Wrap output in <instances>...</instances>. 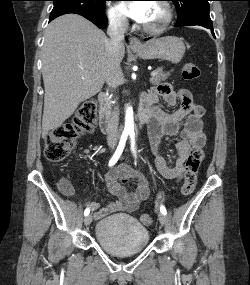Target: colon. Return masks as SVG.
<instances>
[{
	"label": "colon",
	"mask_w": 250,
	"mask_h": 285,
	"mask_svg": "<svg viewBox=\"0 0 250 285\" xmlns=\"http://www.w3.org/2000/svg\"><path fill=\"white\" fill-rule=\"evenodd\" d=\"M200 69L194 63H186L182 68V77L192 81L200 77ZM96 103L87 100L78 108L72 122L55 128L46 138L44 154L48 161L57 163L65 159L74 149L77 139L90 133L96 124ZM204 159L202 147H192L185 162V174L181 187L184 196L191 195L197 184L200 164ZM140 222L149 226L153 220L149 214H142Z\"/></svg>",
	"instance_id": "colon-1"
}]
</instances>
